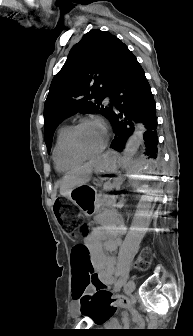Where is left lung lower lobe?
Instances as JSON below:
<instances>
[{
    "instance_id": "obj_1",
    "label": "left lung lower lobe",
    "mask_w": 193,
    "mask_h": 336,
    "mask_svg": "<svg viewBox=\"0 0 193 336\" xmlns=\"http://www.w3.org/2000/svg\"><path fill=\"white\" fill-rule=\"evenodd\" d=\"M114 102L109 120L115 137L110 148L122 151L136 122L147 129L143 134L145 154L157 157L156 105L145 73L136 57L126 48L110 94Z\"/></svg>"
}]
</instances>
